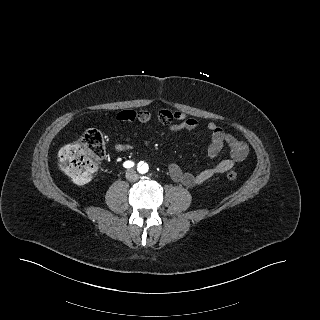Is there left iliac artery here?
<instances>
[{"label": "left iliac artery", "instance_id": "44dca946", "mask_svg": "<svg viewBox=\"0 0 320 320\" xmlns=\"http://www.w3.org/2000/svg\"><path fill=\"white\" fill-rule=\"evenodd\" d=\"M138 171L140 173H146L148 171V165L144 162L139 163Z\"/></svg>", "mask_w": 320, "mask_h": 320}]
</instances>
